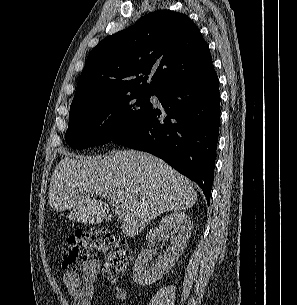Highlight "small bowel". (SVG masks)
Instances as JSON below:
<instances>
[{"label": "small bowel", "mask_w": 297, "mask_h": 305, "mask_svg": "<svg viewBox=\"0 0 297 305\" xmlns=\"http://www.w3.org/2000/svg\"><path fill=\"white\" fill-rule=\"evenodd\" d=\"M100 274L113 284H116L119 280L118 276L108 266H103L98 260L88 262L81 273L68 271L63 274V282L72 296L73 305H91L95 281ZM113 293L118 301L127 299V291L124 287L115 286Z\"/></svg>", "instance_id": "1"}]
</instances>
